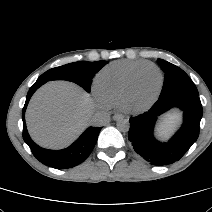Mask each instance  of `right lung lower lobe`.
Here are the masks:
<instances>
[{
    "instance_id": "right-lung-lower-lobe-1",
    "label": "right lung lower lobe",
    "mask_w": 212,
    "mask_h": 212,
    "mask_svg": "<svg viewBox=\"0 0 212 212\" xmlns=\"http://www.w3.org/2000/svg\"><path fill=\"white\" fill-rule=\"evenodd\" d=\"M44 83L46 82L43 80H37L28 91L22 111L23 139L30 147L33 155L46 166L56 169H67L77 166L90 155L96 144L101 127H89L71 146L60 151L47 150L39 147L32 141L28 134L24 114L31 96Z\"/></svg>"
}]
</instances>
